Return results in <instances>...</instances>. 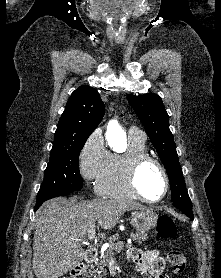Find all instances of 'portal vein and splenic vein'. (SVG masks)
<instances>
[{"label": "portal vein and splenic vein", "mask_w": 221, "mask_h": 278, "mask_svg": "<svg viewBox=\"0 0 221 278\" xmlns=\"http://www.w3.org/2000/svg\"><path fill=\"white\" fill-rule=\"evenodd\" d=\"M87 235H88L89 240H97V236L95 233V225L90 226V228L88 229ZM81 240L82 239L80 238V241ZM120 244H123V242H120Z\"/></svg>", "instance_id": "portal-vein-and-splenic-vein-1"}]
</instances>
